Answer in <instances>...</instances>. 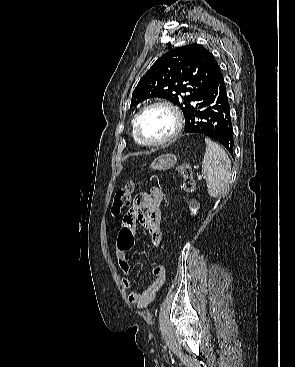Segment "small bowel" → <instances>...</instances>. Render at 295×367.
<instances>
[{
	"label": "small bowel",
	"mask_w": 295,
	"mask_h": 367,
	"mask_svg": "<svg viewBox=\"0 0 295 367\" xmlns=\"http://www.w3.org/2000/svg\"><path fill=\"white\" fill-rule=\"evenodd\" d=\"M163 195L162 190L156 187L148 192L139 193L133 201L132 208L125 215L122 226V229H129L132 237H134L136 225L139 223L148 232L151 243L156 248L160 247L162 241L161 202ZM129 248L122 245L120 232L115 245V254L119 268L126 275L122 279V284L127 290L132 286L131 280L127 277L131 270L127 257ZM152 273L155 280L151 284L137 292H131L128 296L129 301L138 308H145L151 304L156 297L157 291L165 284L166 270L164 266L158 265L154 267Z\"/></svg>",
	"instance_id": "c3829d8e"
}]
</instances>
